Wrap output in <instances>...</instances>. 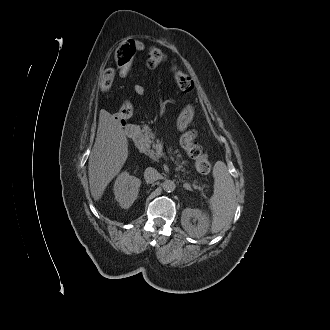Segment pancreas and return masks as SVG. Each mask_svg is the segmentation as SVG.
<instances>
[{"instance_id":"1","label":"pancreas","mask_w":330,"mask_h":330,"mask_svg":"<svg viewBox=\"0 0 330 330\" xmlns=\"http://www.w3.org/2000/svg\"><path fill=\"white\" fill-rule=\"evenodd\" d=\"M154 139H155V134L152 133L151 130H148L142 135L141 140H140V146H141L142 151L146 155H148L152 160H157L159 156L153 150L156 148ZM175 153H177V151H175ZM180 158H181V155L178 154L177 159L179 160ZM183 164H185V162H182L181 164L177 163V166H178L177 169L182 170ZM192 185L195 189H199V190H202L205 187L204 185L203 186L197 185L196 180L193 182Z\"/></svg>"}]
</instances>
